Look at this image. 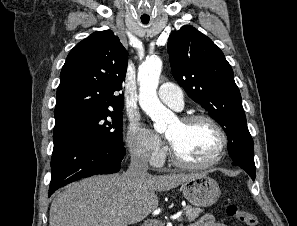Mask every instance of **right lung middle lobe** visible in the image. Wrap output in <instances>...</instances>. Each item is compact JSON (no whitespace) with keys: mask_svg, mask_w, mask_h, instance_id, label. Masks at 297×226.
I'll list each match as a JSON object with an SVG mask.
<instances>
[{"mask_svg":"<svg viewBox=\"0 0 297 226\" xmlns=\"http://www.w3.org/2000/svg\"><path fill=\"white\" fill-rule=\"evenodd\" d=\"M122 110L83 111L56 120L54 135L77 133L123 146Z\"/></svg>","mask_w":297,"mask_h":226,"instance_id":"1","label":"right lung middle lobe"}]
</instances>
